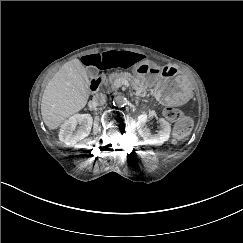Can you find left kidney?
Wrapping results in <instances>:
<instances>
[{
  "mask_svg": "<svg viewBox=\"0 0 243 243\" xmlns=\"http://www.w3.org/2000/svg\"><path fill=\"white\" fill-rule=\"evenodd\" d=\"M147 122L146 116L141 115L138 117L137 122V130L140 136L143 138L146 144L153 146H160L167 140H169L171 135V127L170 124L163 118L159 119V123L161 125V129L158 130L156 134H151L150 129L145 126Z\"/></svg>",
  "mask_w": 243,
  "mask_h": 243,
  "instance_id": "5707ae66",
  "label": "left kidney"
}]
</instances>
